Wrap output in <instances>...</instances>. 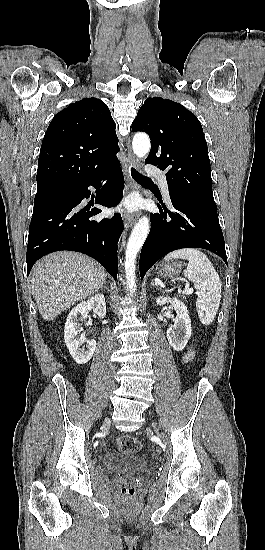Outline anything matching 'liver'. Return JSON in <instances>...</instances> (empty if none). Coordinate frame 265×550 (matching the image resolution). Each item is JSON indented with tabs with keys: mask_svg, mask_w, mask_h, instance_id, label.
I'll return each instance as SVG.
<instances>
[{
	"mask_svg": "<svg viewBox=\"0 0 265 550\" xmlns=\"http://www.w3.org/2000/svg\"><path fill=\"white\" fill-rule=\"evenodd\" d=\"M104 268L92 258L71 251L43 257L31 273L32 295L46 321L96 293L106 280Z\"/></svg>",
	"mask_w": 265,
	"mask_h": 550,
	"instance_id": "1",
	"label": "liver"
}]
</instances>
